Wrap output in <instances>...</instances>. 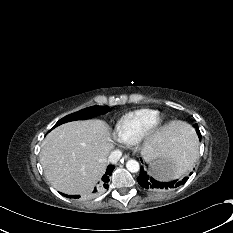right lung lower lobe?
Masks as SVG:
<instances>
[{
	"label": "right lung lower lobe",
	"instance_id": "1",
	"mask_svg": "<svg viewBox=\"0 0 233 233\" xmlns=\"http://www.w3.org/2000/svg\"><path fill=\"white\" fill-rule=\"evenodd\" d=\"M113 170H114L113 165H109L107 167L106 173L103 175L100 183L91 189L92 194L101 193L102 191H104L105 189L109 187L108 181H109V177L111 176ZM63 195L65 197L74 198V199L80 197L79 195H66V194H63Z\"/></svg>",
	"mask_w": 233,
	"mask_h": 233
}]
</instances>
